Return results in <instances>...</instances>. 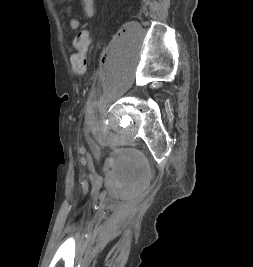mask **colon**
<instances>
[{"label":"colon","instance_id":"colon-1","mask_svg":"<svg viewBox=\"0 0 253 267\" xmlns=\"http://www.w3.org/2000/svg\"><path fill=\"white\" fill-rule=\"evenodd\" d=\"M76 52L71 57V65L76 74H83L87 67V51L89 47V36L85 30L78 32L74 39Z\"/></svg>","mask_w":253,"mask_h":267}]
</instances>
